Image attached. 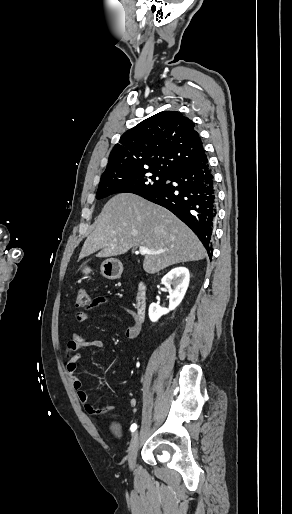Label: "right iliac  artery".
<instances>
[{"label":"right iliac artery","mask_w":292,"mask_h":514,"mask_svg":"<svg viewBox=\"0 0 292 514\" xmlns=\"http://www.w3.org/2000/svg\"><path fill=\"white\" fill-rule=\"evenodd\" d=\"M136 429H137V424H135V423L132 424L131 427H130L131 432L132 433L135 432Z\"/></svg>","instance_id":"right-iliac-artery-1"}]
</instances>
